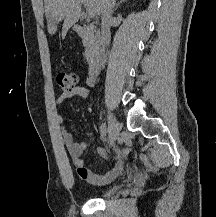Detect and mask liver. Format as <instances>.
Here are the masks:
<instances>
[{"label":"liver","mask_w":216,"mask_h":217,"mask_svg":"<svg viewBox=\"0 0 216 217\" xmlns=\"http://www.w3.org/2000/svg\"><path fill=\"white\" fill-rule=\"evenodd\" d=\"M94 14L100 16L103 13L106 0H85ZM45 16L48 32L54 35L57 24L64 20L63 34L73 26L81 14V6L78 0H44Z\"/></svg>","instance_id":"6515ba94"}]
</instances>
